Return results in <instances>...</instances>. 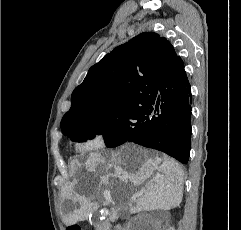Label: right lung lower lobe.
Wrapping results in <instances>:
<instances>
[{"instance_id":"98d812e1","label":"right lung lower lobe","mask_w":241,"mask_h":230,"mask_svg":"<svg viewBox=\"0 0 241 230\" xmlns=\"http://www.w3.org/2000/svg\"><path fill=\"white\" fill-rule=\"evenodd\" d=\"M191 103V86L179 58L163 76L156 96L147 104V126L123 143L130 141L157 149L186 164L191 145Z\"/></svg>"}]
</instances>
